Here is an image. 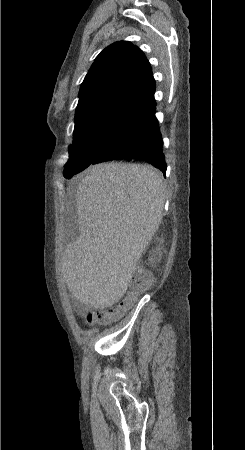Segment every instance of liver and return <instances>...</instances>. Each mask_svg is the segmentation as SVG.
Segmentation results:
<instances>
[{"label":"liver","mask_w":245,"mask_h":450,"mask_svg":"<svg viewBox=\"0 0 245 450\" xmlns=\"http://www.w3.org/2000/svg\"><path fill=\"white\" fill-rule=\"evenodd\" d=\"M166 188L150 165L90 166L78 185L80 236L62 257L69 291L104 309L125 294L143 251L159 228Z\"/></svg>","instance_id":"obj_1"}]
</instances>
